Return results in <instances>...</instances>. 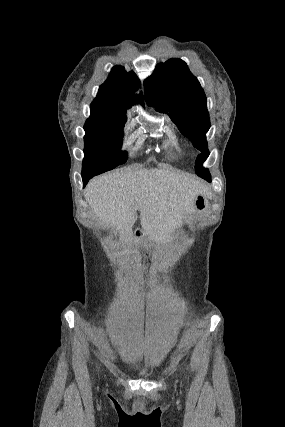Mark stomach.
<instances>
[{
	"mask_svg": "<svg viewBox=\"0 0 285 427\" xmlns=\"http://www.w3.org/2000/svg\"><path fill=\"white\" fill-rule=\"evenodd\" d=\"M209 206V201L205 198L204 195L199 194L196 196L195 199V212L196 213H203L207 210ZM158 243L154 240L148 239L147 241H145L144 243V247L147 250H154L155 248L158 247Z\"/></svg>",
	"mask_w": 285,
	"mask_h": 427,
	"instance_id": "stomach-1",
	"label": "stomach"
}]
</instances>
